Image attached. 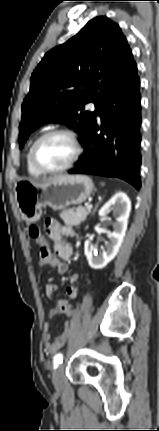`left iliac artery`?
Listing matches in <instances>:
<instances>
[{
    "label": "left iliac artery",
    "instance_id": "44dca946",
    "mask_svg": "<svg viewBox=\"0 0 159 431\" xmlns=\"http://www.w3.org/2000/svg\"><path fill=\"white\" fill-rule=\"evenodd\" d=\"M62 361H63V355H62L61 353L57 354V355L54 357V368H57V366H58L59 364H61V363H62Z\"/></svg>",
    "mask_w": 159,
    "mask_h": 431
}]
</instances>
